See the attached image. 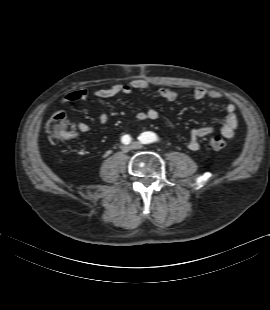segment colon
<instances>
[{
  "label": "colon",
  "mask_w": 270,
  "mask_h": 310,
  "mask_svg": "<svg viewBox=\"0 0 270 310\" xmlns=\"http://www.w3.org/2000/svg\"><path fill=\"white\" fill-rule=\"evenodd\" d=\"M46 129L57 140L67 139L74 135L68 130L67 116L62 111H58L52 115L47 122ZM208 147L214 151L222 150L226 147V140L221 136H211L208 140Z\"/></svg>",
  "instance_id": "5ec220e1"
}]
</instances>
